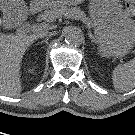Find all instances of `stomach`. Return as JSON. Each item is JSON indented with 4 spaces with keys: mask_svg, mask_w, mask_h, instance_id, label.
<instances>
[{
    "mask_svg": "<svg viewBox=\"0 0 135 135\" xmlns=\"http://www.w3.org/2000/svg\"><path fill=\"white\" fill-rule=\"evenodd\" d=\"M11 2L16 7V14L25 11L21 0ZM89 15L103 56L121 57L130 51L135 44V21L125 14L120 0H90Z\"/></svg>",
    "mask_w": 135,
    "mask_h": 135,
    "instance_id": "0dacf381",
    "label": "stomach"
}]
</instances>
